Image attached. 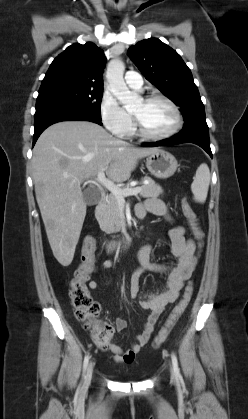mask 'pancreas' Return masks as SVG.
Wrapping results in <instances>:
<instances>
[{"mask_svg": "<svg viewBox=\"0 0 248 419\" xmlns=\"http://www.w3.org/2000/svg\"><path fill=\"white\" fill-rule=\"evenodd\" d=\"M143 180L148 181V184H144L141 186L140 196L147 198V197H158L160 194L163 193L161 186L155 183V181L145 176ZM131 186L127 184L126 186L122 187L121 189H130ZM120 201L115 197V195L110 194L105 204L102 208V212L98 219L100 228L107 234L117 233L120 232L122 227L121 222V212H120Z\"/></svg>", "mask_w": 248, "mask_h": 419, "instance_id": "1", "label": "pancreas"}]
</instances>
